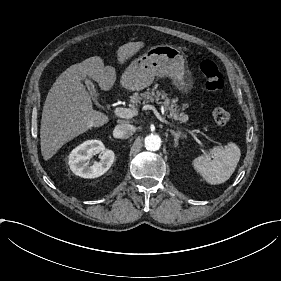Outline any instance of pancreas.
<instances>
[{"label": "pancreas", "instance_id": "cf45deb5", "mask_svg": "<svg viewBox=\"0 0 281 281\" xmlns=\"http://www.w3.org/2000/svg\"><path fill=\"white\" fill-rule=\"evenodd\" d=\"M163 100V101H160ZM157 103L164 107L168 118H173L174 120H179L181 122H186L188 120V116L184 113L179 114V110L177 109L176 100H170L168 95L160 90H157V87L152 89H147L142 93L135 92L132 96H130V106L132 108H137L141 103Z\"/></svg>", "mask_w": 281, "mask_h": 281}]
</instances>
